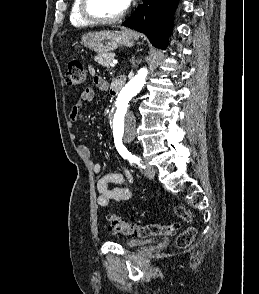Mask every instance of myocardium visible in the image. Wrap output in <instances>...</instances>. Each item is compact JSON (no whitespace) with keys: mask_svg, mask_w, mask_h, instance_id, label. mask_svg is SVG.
<instances>
[{"mask_svg":"<svg viewBox=\"0 0 259 294\" xmlns=\"http://www.w3.org/2000/svg\"><path fill=\"white\" fill-rule=\"evenodd\" d=\"M89 2L90 0H80L79 5V13L81 17L87 21L89 24H95V25H107V24H113L118 21H120L127 12V9L125 8L121 13H119L117 16L110 17V18H101L93 15L89 10Z\"/></svg>","mask_w":259,"mask_h":294,"instance_id":"f54148a6","label":"myocardium"}]
</instances>
